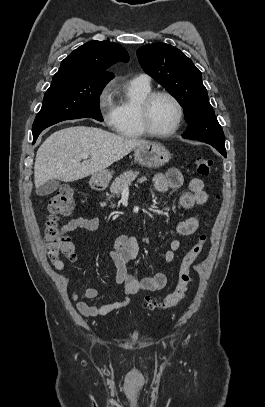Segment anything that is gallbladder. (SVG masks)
Here are the masks:
<instances>
[{"mask_svg":"<svg viewBox=\"0 0 265 407\" xmlns=\"http://www.w3.org/2000/svg\"><path fill=\"white\" fill-rule=\"evenodd\" d=\"M59 187V181L57 180H50L46 183L42 184L36 189V193L39 196H47L55 192Z\"/></svg>","mask_w":265,"mask_h":407,"instance_id":"obj_1","label":"gallbladder"}]
</instances>
